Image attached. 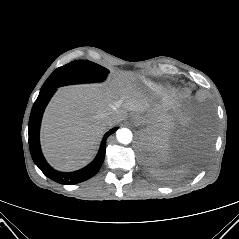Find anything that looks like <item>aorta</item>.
<instances>
[{
    "mask_svg": "<svg viewBox=\"0 0 239 239\" xmlns=\"http://www.w3.org/2000/svg\"><path fill=\"white\" fill-rule=\"evenodd\" d=\"M116 138L121 144L128 145L132 141L133 134L128 128H121L117 130Z\"/></svg>",
    "mask_w": 239,
    "mask_h": 239,
    "instance_id": "762f6f07",
    "label": "aorta"
}]
</instances>
